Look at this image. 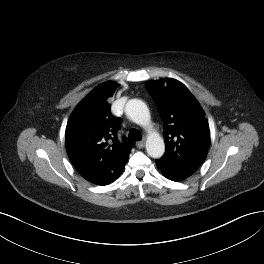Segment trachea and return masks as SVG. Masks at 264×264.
<instances>
[{"label":"trachea","instance_id":"obj_1","mask_svg":"<svg viewBox=\"0 0 264 264\" xmlns=\"http://www.w3.org/2000/svg\"><path fill=\"white\" fill-rule=\"evenodd\" d=\"M141 139L142 136L137 130H131L128 134L129 141H140Z\"/></svg>","mask_w":264,"mask_h":264}]
</instances>
